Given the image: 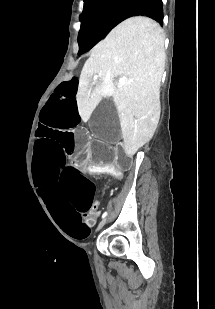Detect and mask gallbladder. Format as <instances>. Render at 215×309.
<instances>
[{"instance_id": "gallbladder-1", "label": "gallbladder", "mask_w": 215, "mask_h": 309, "mask_svg": "<svg viewBox=\"0 0 215 309\" xmlns=\"http://www.w3.org/2000/svg\"><path fill=\"white\" fill-rule=\"evenodd\" d=\"M95 107L91 113L90 132L102 136L106 144H118L117 136L121 134V127L119 117L116 115V104L112 98H102L101 103H96Z\"/></svg>"}]
</instances>
